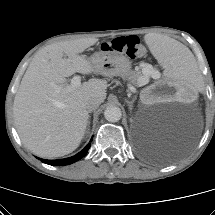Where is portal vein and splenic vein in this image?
Here are the masks:
<instances>
[{
  "instance_id": "obj_1",
  "label": "portal vein and splenic vein",
  "mask_w": 215,
  "mask_h": 215,
  "mask_svg": "<svg viewBox=\"0 0 215 215\" xmlns=\"http://www.w3.org/2000/svg\"><path fill=\"white\" fill-rule=\"evenodd\" d=\"M152 77H153L154 79H158V78H159V74H158L157 72H153V73H152ZM147 83H148V78L145 77V78H143V79L140 81V86L145 85V84H147ZM80 85H81V77H80L79 75L74 76V77L71 79L70 87H71V88H76V87H78V86H80Z\"/></svg>"
}]
</instances>
